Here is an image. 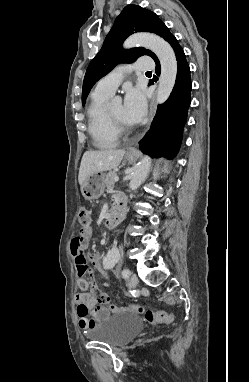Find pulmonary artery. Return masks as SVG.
Returning <instances> with one entry per match:
<instances>
[{
    "mask_svg": "<svg viewBox=\"0 0 249 382\" xmlns=\"http://www.w3.org/2000/svg\"><path fill=\"white\" fill-rule=\"evenodd\" d=\"M153 68L154 63L149 57L138 58L133 64L119 65L97 83L95 90L112 95L129 71H147Z\"/></svg>",
    "mask_w": 249,
    "mask_h": 382,
    "instance_id": "pulmonary-artery-1",
    "label": "pulmonary artery"
}]
</instances>
